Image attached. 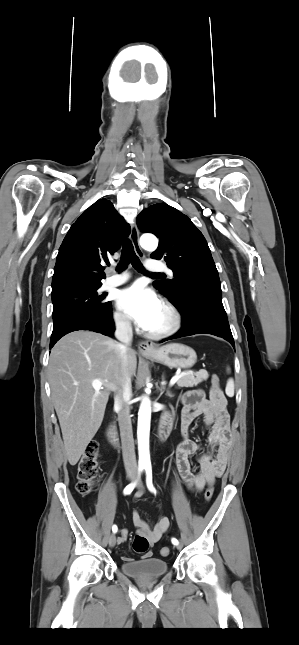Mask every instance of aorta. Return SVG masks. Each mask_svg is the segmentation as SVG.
Segmentation results:
<instances>
[{
  "instance_id": "obj_1",
  "label": "aorta",
  "mask_w": 299,
  "mask_h": 645,
  "mask_svg": "<svg viewBox=\"0 0 299 645\" xmlns=\"http://www.w3.org/2000/svg\"><path fill=\"white\" fill-rule=\"evenodd\" d=\"M140 244L145 250L154 251L158 246V240L153 235H143L140 239ZM150 420H151V405L148 397H143L138 412V452L139 464L150 463L149 453V433H150Z\"/></svg>"
}]
</instances>
